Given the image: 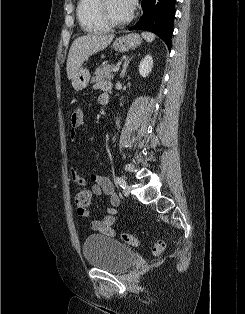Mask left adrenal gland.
Masks as SVG:
<instances>
[{
  "label": "left adrenal gland",
  "mask_w": 245,
  "mask_h": 314,
  "mask_svg": "<svg viewBox=\"0 0 245 314\" xmlns=\"http://www.w3.org/2000/svg\"><path fill=\"white\" fill-rule=\"evenodd\" d=\"M131 59H133V56L125 58L123 66H122V71H121V74H120V78H123L126 75V70H127V67L129 65Z\"/></svg>",
  "instance_id": "left-adrenal-gland-1"
}]
</instances>
